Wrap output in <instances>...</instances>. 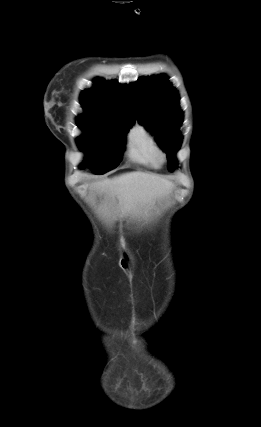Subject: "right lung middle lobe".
<instances>
[{
    "instance_id": "obj_1",
    "label": "right lung middle lobe",
    "mask_w": 261,
    "mask_h": 427,
    "mask_svg": "<svg viewBox=\"0 0 261 427\" xmlns=\"http://www.w3.org/2000/svg\"><path fill=\"white\" fill-rule=\"evenodd\" d=\"M77 123L84 131L77 143L87 153L81 167H89L96 174L116 168L122 159L125 135L133 122L78 117Z\"/></svg>"
}]
</instances>
